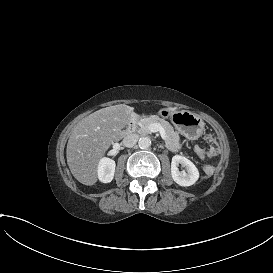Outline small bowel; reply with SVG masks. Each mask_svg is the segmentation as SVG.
Here are the masks:
<instances>
[{
	"label": "small bowel",
	"instance_id": "c3829d8e",
	"mask_svg": "<svg viewBox=\"0 0 273 273\" xmlns=\"http://www.w3.org/2000/svg\"><path fill=\"white\" fill-rule=\"evenodd\" d=\"M205 136H206L208 143L210 144L211 152H213V153L218 152L219 145H218V141L215 137L214 132L211 130H208V131H206ZM197 154H198V156H200L203 159H206L209 156L208 151L204 147L199 148L197 151Z\"/></svg>",
	"mask_w": 273,
	"mask_h": 273
}]
</instances>
